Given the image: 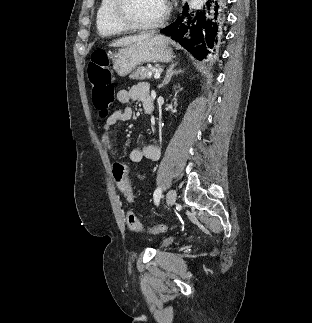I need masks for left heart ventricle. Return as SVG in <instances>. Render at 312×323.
<instances>
[{
	"mask_svg": "<svg viewBox=\"0 0 312 323\" xmlns=\"http://www.w3.org/2000/svg\"><path fill=\"white\" fill-rule=\"evenodd\" d=\"M121 5H124L123 14L135 18L136 22H151L152 18H159L164 9L163 0H121Z\"/></svg>",
	"mask_w": 312,
	"mask_h": 323,
	"instance_id": "b2bd125f",
	"label": "left heart ventricle"
}]
</instances>
